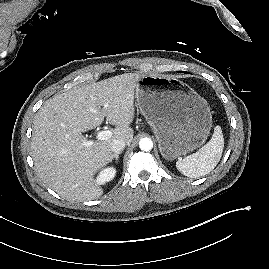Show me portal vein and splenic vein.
Listing matches in <instances>:
<instances>
[{"label": "portal vein and splenic vein", "mask_w": 269, "mask_h": 269, "mask_svg": "<svg viewBox=\"0 0 269 269\" xmlns=\"http://www.w3.org/2000/svg\"><path fill=\"white\" fill-rule=\"evenodd\" d=\"M111 136L112 132L110 130H102L97 133L96 138L98 140H108L109 138H111Z\"/></svg>", "instance_id": "portal-vein-and-splenic-vein-1"}]
</instances>
